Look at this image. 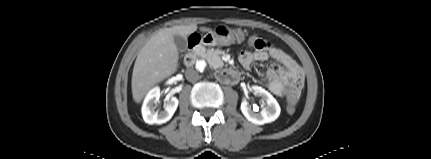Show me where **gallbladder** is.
I'll use <instances>...</instances> for the list:
<instances>
[{"label": "gallbladder", "instance_id": "gallbladder-1", "mask_svg": "<svg viewBox=\"0 0 431 159\" xmlns=\"http://www.w3.org/2000/svg\"><path fill=\"white\" fill-rule=\"evenodd\" d=\"M174 43H175L177 49L180 52H185L187 50V48H188L186 38H184V37H182L180 35H175L174 36Z\"/></svg>", "mask_w": 431, "mask_h": 159}]
</instances>
